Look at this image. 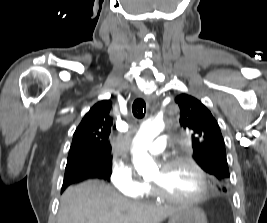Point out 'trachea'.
<instances>
[{"label":"trachea","instance_id":"1","mask_svg":"<svg viewBox=\"0 0 267 223\" xmlns=\"http://www.w3.org/2000/svg\"><path fill=\"white\" fill-rule=\"evenodd\" d=\"M132 112L136 118H138V119L143 118L145 115V112H146L145 101L141 98L136 99L132 105Z\"/></svg>","mask_w":267,"mask_h":223}]
</instances>
